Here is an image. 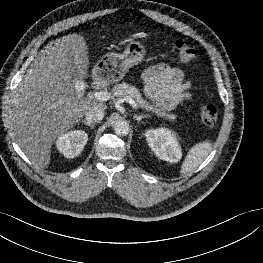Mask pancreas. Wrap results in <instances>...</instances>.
I'll return each mask as SVG.
<instances>
[{
	"instance_id": "pancreas-1",
	"label": "pancreas",
	"mask_w": 263,
	"mask_h": 263,
	"mask_svg": "<svg viewBox=\"0 0 263 263\" xmlns=\"http://www.w3.org/2000/svg\"><path fill=\"white\" fill-rule=\"evenodd\" d=\"M113 94L118 98H126L127 96L136 100L137 104L149 111L154 112L159 117H165L169 120H175L176 116L174 114H167L159 108L153 107L148 101L144 100L140 94V91L132 85L125 82L116 84L112 90Z\"/></svg>"
}]
</instances>
